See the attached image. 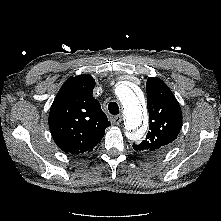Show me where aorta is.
Returning a JSON list of instances; mask_svg holds the SVG:
<instances>
[{
    "label": "aorta",
    "instance_id": "1",
    "mask_svg": "<svg viewBox=\"0 0 221 221\" xmlns=\"http://www.w3.org/2000/svg\"><path fill=\"white\" fill-rule=\"evenodd\" d=\"M117 96L124 112L126 134L132 140H139L147 129V109L128 86H121L117 91Z\"/></svg>",
    "mask_w": 221,
    "mask_h": 221
}]
</instances>
